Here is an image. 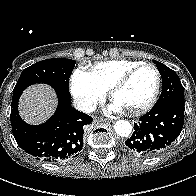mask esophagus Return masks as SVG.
<instances>
[{
    "label": "esophagus",
    "mask_w": 196,
    "mask_h": 196,
    "mask_svg": "<svg viewBox=\"0 0 196 196\" xmlns=\"http://www.w3.org/2000/svg\"><path fill=\"white\" fill-rule=\"evenodd\" d=\"M98 120L100 121H106V122H112V119H104V118H98Z\"/></svg>",
    "instance_id": "1"
}]
</instances>
